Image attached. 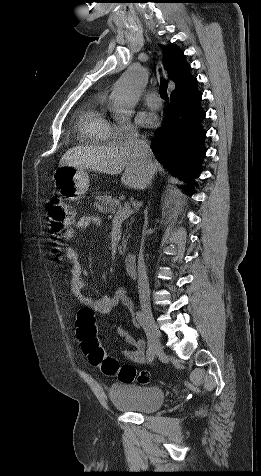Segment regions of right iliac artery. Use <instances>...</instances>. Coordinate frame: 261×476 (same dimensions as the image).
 I'll use <instances>...</instances> for the list:
<instances>
[{
    "label": "right iliac artery",
    "mask_w": 261,
    "mask_h": 476,
    "mask_svg": "<svg viewBox=\"0 0 261 476\" xmlns=\"http://www.w3.org/2000/svg\"><path fill=\"white\" fill-rule=\"evenodd\" d=\"M136 319L138 323L141 325V327L144 329L145 335H147L148 338V349H147V360L149 362H152L154 357H155V342L153 341V332L150 328L147 326V321H146V316L142 311L136 312Z\"/></svg>",
    "instance_id": "right-iliac-artery-1"
}]
</instances>
